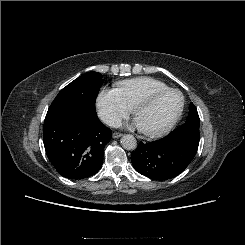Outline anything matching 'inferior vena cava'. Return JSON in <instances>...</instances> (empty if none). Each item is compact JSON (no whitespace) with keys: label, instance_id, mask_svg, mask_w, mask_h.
<instances>
[{"label":"inferior vena cava","instance_id":"obj_1","mask_svg":"<svg viewBox=\"0 0 245 245\" xmlns=\"http://www.w3.org/2000/svg\"><path fill=\"white\" fill-rule=\"evenodd\" d=\"M104 122L110 126V127H114V128H119L121 127V119L119 117L116 116H110L107 117Z\"/></svg>","mask_w":245,"mask_h":245}]
</instances>
